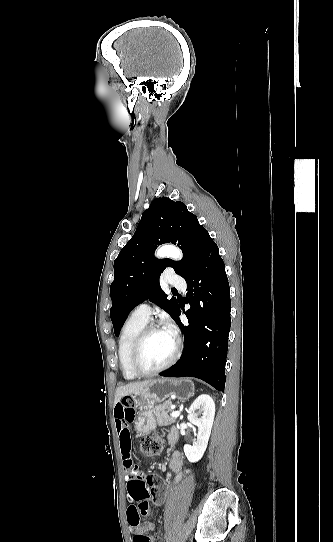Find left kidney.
<instances>
[{
    "label": "left kidney",
    "instance_id": "5707ae66",
    "mask_svg": "<svg viewBox=\"0 0 333 542\" xmlns=\"http://www.w3.org/2000/svg\"><path fill=\"white\" fill-rule=\"evenodd\" d=\"M196 410H199V414L202 412L201 418H198L199 414H197ZM214 416V400L208 394H201L191 404L187 418L191 424L197 426L198 434L193 446H189V444H185L184 446V454L189 462H198V460H201L208 446Z\"/></svg>",
    "mask_w": 333,
    "mask_h": 542
}]
</instances>
